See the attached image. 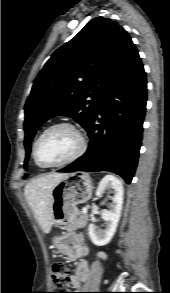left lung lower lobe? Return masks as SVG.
Instances as JSON below:
<instances>
[{
	"label": "left lung lower lobe",
	"instance_id": "0a47b994",
	"mask_svg": "<svg viewBox=\"0 0 170 293\" xmlns=\"http://www.w3.org/2000/svg\"><path fill=\"white\" fill-rule=\"evenodd\" d=\"M146 101V75L134 47L110 80L86 128L87 152L58 172L109 171L129 184L138 163Z\"/></svg>",
	"mask_w": 170,
	"mask_h": 293
}]
</instances>
